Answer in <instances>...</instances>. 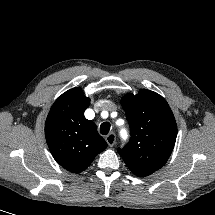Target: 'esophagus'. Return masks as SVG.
<instances>
[{
  "mask_svg": "<svg viewBox=\"0 0 215 215\" xmlns=\"http://www.w3.org/2000/svg\"><path fill=\"white\" fill-rule=\"evenodd\" d=\"M107 144L112 147L116 142V135L114 133H110L106 136Z\"/></svg>",
  "mask_w": 215,
  "mask_h": 215,
  "instance_id": "34e87169",
  "label": "esophagus"
}]
</instances>
